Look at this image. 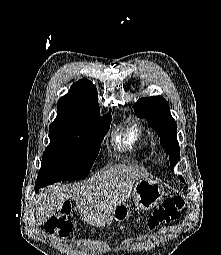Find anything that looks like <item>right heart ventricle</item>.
Instances as JSON below:
<instances>
[{
  "label": "right heart ventricle",
  "instance_id": "1",
  "mask_svg": "<svg viewBox=\"0 0 221 255\" xmlns=\"http://www.w3.org/2000/svg\"><path fill=\"white\" fill-rule=\"evenodd\" d=\"M113 143L116 148L132 150L144 144V131L138 121H128L114 134Z\"/></svg>",
  "mask_w": 221,
  "mask_h": 255
}]
</instances>
